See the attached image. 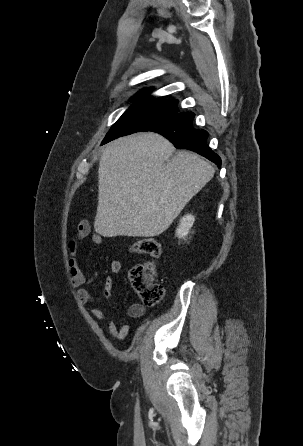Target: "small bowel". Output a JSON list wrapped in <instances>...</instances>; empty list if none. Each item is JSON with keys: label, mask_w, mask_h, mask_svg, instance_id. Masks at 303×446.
I'll return each mask as SVG.
<instances>
[{"label": "small bowel", "mask_w": 303, "mask_h": 446, "mask_svg": "<svg viewBox=\"0 0 303 446\" xmlns=\"http://www.w3.org/2000/svg\"><path fill=\"white\" fill-rule=\"evenodd\" d=\"M91 235V240L93 243L100 245L103 242V238L98 233L91 234V226L87 221L79 222L77 226V231L74 238L70 241L69 248L71 257L69 259V268L71 273V284L74 288H79L78 297L82 304H89L99 301V297L93 294L86 286L90 285L97 274L92 273L86 276L78 263L77 250L78 244L81 240ZM123 265L121 261L115 260L111 263V272L113 274H118L122 271ZM114 285V280L111 276L106 277L103 285V297L105 299H110L112 295V289ZM92 317L96 319L106 320L107 329L106 332L108 336L112 338H117L124 341L129 336V326L126 323L118 326L115 321L110 319L105 311L99 308H93L89 310ZM146 312L144 305L139 303L131 304L128 308L127 314L131 318H140Z\"/></svg>", "instance_id": "1"}]
</instances>
